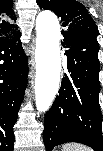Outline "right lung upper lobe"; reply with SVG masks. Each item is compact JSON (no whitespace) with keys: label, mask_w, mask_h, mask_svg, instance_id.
<instances>
[{"label":"right lung upper lobe","mask_w":103,"mask_h":151,"mask_svg":"<svg viewBox=\"0 0 103 151\" xmlns=\"http://www.w3.org/2000/svg\"><path fill=\"white\" fill-rule=\"evenodd\" d=\"M12 7V0H0V37L19 32L13 23L16 18Z\"/></svg>","instance_id":"1"}]
</instances>
